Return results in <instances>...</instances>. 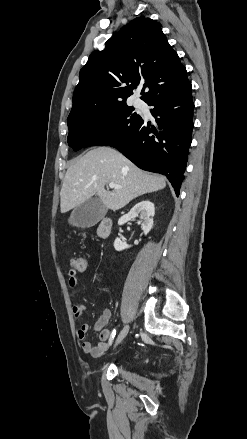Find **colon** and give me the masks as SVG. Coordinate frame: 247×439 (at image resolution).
Wrapping results in <instances>:
<instances>
[{"instance_id": "1", "label": "colon", "mask_w": 247, "mask_h": 439, "mask_svg": "<svg viewBox=\"0 0 247 439\" xmlns=\"http://www.w3.org/2000/svg\"><path fill=\"white\" fill-rule=\"evenodd\" d=\"M88 261L84 256H77L71 259V270L83 272L87 269Z\"/></svg>"}]
</instances>
